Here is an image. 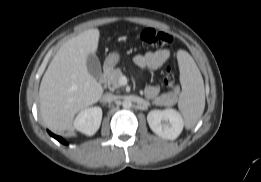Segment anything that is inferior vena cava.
Segmentation results:
<instances>
[{
  "instance_id": "1",
  "label": "inferior vena cava",
  "mask_w": 261,
  "mask_h": 182,
  "mask_svg": "<svg viewBox=\"0 0 261 182\" xmlns=\"http://www.w3.org/2000/svg\"><path fill=\"white\" fill-rule=\"evenodd\" d=\"M117 99L115 95L112 93H106L101 97V102L103 103H111L114 102Z\"/></svg>"
}]
</instances>
